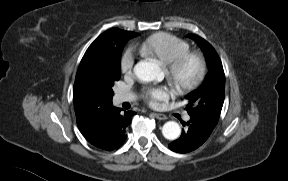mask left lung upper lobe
Listing matches in <instances>:
<instances>
[{
    "label": "left lung upper lobe",
    "mask_w": 288,
    "mask_h": 181,
    "mask_svg": "<svg viewBox=\"0 0 288 181\" xmlns=\"http://www.w3.org/2000/svg\"><path fill=\"white\" fill-rule=\"evenodd\" d=\"M203 50L209 65V71L203 84L190 92L186 99V110L189 115L201 116L210 122L217 123L224 102L225 75L221 60L215 49L203 38L189 34Z\"/></svg>",
    "instance_id": "obj_1"
}]
</instances>
